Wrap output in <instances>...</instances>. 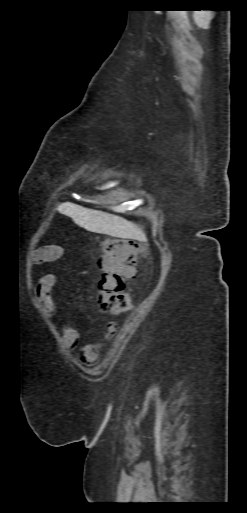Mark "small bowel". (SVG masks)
Instances as JSON below:
<instances>
[{"label": "small bowel", "instance_id": "1", "mask_svg": "<svg viewBox=\"0 0 247 513\" xmlns=\"http://www.w3.org/2000/svg\"><path fill=\"white\" fill-rule=\"evenodd\" d=\"M59 248L56 246H47L41 248L31 258L33 266L52 261ZM56 286V277L52 274L44 275L39 279L35 287V298L39 303L43 313L47 318H53L55 315V304L52 297V291ZM116 332V326L110 323L105 330V338L111 339ZM80 339L78 331L73 327H65L62 334L63 345L66 349L74 348ZM102 348L101 344H89L83 351V359L87 362L93 361Z\"/></svg>", "mask_w": 247, "mask_h": 513}]
</instances>
